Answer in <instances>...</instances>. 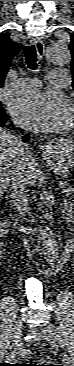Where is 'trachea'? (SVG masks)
<instances>
[{
  "mask_svg": "<svg viewBox=\"0 0 74 366\" xmlns=\"http://www.w3.org/2000/svg\"><path fill=\"white\" fill-rule=\"evenodd\" d=\"M25 61L29 69L36 70L37 65V52L34 45H27L24 47Z\"/></svg>",
  "mask_w": 74,
  "mask_h": 366,
  "instance_id": "3493384b",
  "label": "trachea"
}]
</instances>
